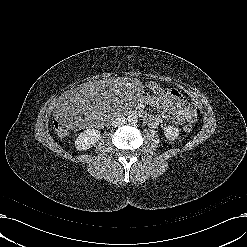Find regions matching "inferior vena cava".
<instances>
[{
  "mask_svg": "<svg viewBox=\"0 0 247 247\" xmlns=\"http://www.w3.org/2000/svg\"><path fill=\"white\" fill-rule=\"evenodd\" d=\"M125 123H126V118L120 116V117L115 118V119L112 121V126L118 127V126L123 125V124H125Z\"/></svg>",
  "mask_w": 247,
  "mask_h": 247,
  "instance_id": "1",
  "label": "inferior vena cava"
}]
</instances>
